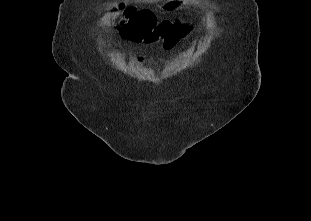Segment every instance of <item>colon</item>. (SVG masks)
Wrapping results in <instances>:
<instances>
[{
    "label": "colon",
    "mask_w": 311,
    "mask_h": 221,
    "mask_svg": "<svg viewBox=\"0 0 311 221\" xmlns=\"http://www.w3.org/2000/svg\"><path fill=\"white\" fill-rule=\"evenodd\" d=\"M120 10V16L126 17L128 25H120L122 39H134L139 43L148 45L162 44L165 48L174 47L178 38L190 30V26L179 20L165 19L157 23L151 10L147 8L128 9L127 5L116 4ZM140 21V22H139Z\"/></svg>",
    "instance_id": "1"
}]
</instances>
